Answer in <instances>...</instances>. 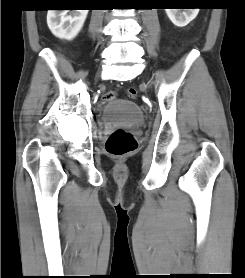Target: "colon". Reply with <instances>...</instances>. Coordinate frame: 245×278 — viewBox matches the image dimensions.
Wrapping results in <instances>:
<instances>
[{"label":"colon","mask_w":245,"mask_h":278,"mask_svg":"<svg viewBox=\"0 0 245 278\" xmlns=\"http://www.w3.org/2000/svg\"><path fill=\"white\" fill-rule=\"evenodd\" d=\"M128 94L134 98L136 96L135 88H129ZM107 101L115 99V93L108 91L104 94ZM106 151L114 159H121L131 155L137 149V141L132 134L123 128L115 129L107 139Z\"/></svg>","instance_id":"obj_1"}]
</instances>
